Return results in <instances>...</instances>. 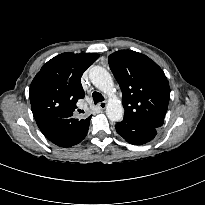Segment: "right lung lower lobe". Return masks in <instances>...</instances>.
I'll return each instance as SVG.
<instances>
[{
	"label": "right lung lower lobe",
	"instance_id": "1",
	"mask_svg": "<svg viewBox=\"0 0 205 205\" xmlns=\"http://www.w3.org/2000/svg\"><path fill=\"white\" fill-rule=\"evenodd\" d=\"M64 126L65 119H53L39 125L38 127L48 140L61 147H70L81 142L85 138L89 128L88 125L79 137L69 140L64 135Z\"/></svg>",
	"mask_w": 205,
	"mask_h": 205
}]
</instances>
